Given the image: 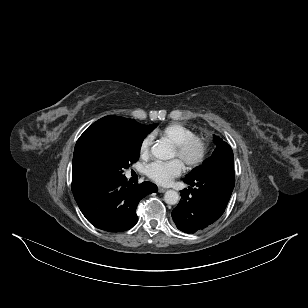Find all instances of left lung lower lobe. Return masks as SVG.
Returning <instances> with one entry per match:
<instances>
[{"instance_id": "0a47b994", "label": "left lung lower lobe", "mask_w": 308, "mask_h": 308, "mask_svg": "<svg viewBox=\"0 0 308 308\" xmlns=\"http://www.w3.org/2000/svg\"><path fill=\"white\" fill-rule=\"evenodd\" d=\"M184 182L195 188L181 191L182 199L173 209L172 218L181 231L195 233L223 214L235 185L234 164L214 165Z\"/></svg>"}]
</instances>
